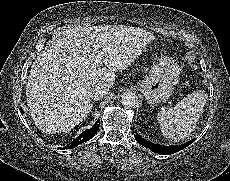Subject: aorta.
<instances>
[{
  "label": "aorta",
  "mask_w": 230,
  "mask_h": 181,
  "mask_svg": "<svg viewBox=\"0 0 230 181\" xmlns=\"http://www.w3.org/2000/svg\"><path fill=\"white\" fill-rule=\"evenodd\" d=\"M139 97L131 91L124 92L121 96V104L128 109H135L140 106Z\"/></svg>",
  "instance_id": "1"
}]
</instances>
